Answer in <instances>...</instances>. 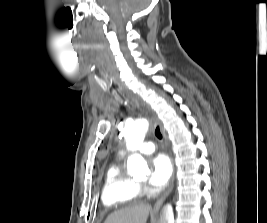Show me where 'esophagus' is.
I'll return each mask as SVG.
<instances>
[{"label": "esophagus", "instance_id": "esophagus-1", "mask_svg": "<svg viewBox=\"0 0 267 223\" xmlns=\"http://www.w3.org/2000/svg\"><path fill=\"white\" fill-rule=\"evenodd\" d=\"M156 124L157 126L160 128L161 134L163 136V138L166 140L167 136H166V132L165 129L163 127L162 122L156 118ZM173 189V181L171 182V185L169 186V188L166 190V192L163 194V196L155 203L154 205V211H158L159 208L161 207V205L163 204V202L165 201V199L168 197V195L170 194V192Z\"/></svg>", "mask_w": 267, "mask_h": 223}]
</instances>
